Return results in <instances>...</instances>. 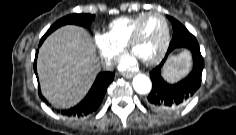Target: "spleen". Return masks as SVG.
I'll return each instance as SVG.
<instances>
[{
  "mask_svg": "<svg viewBox=\"0 0 236 135\" xmlns=\"http://www.w3.org/2000/svg\"><path fill=\"white\" fill-rule=\"evenodd\" d=\"M191 67V55L188 51H182L178 55L171 56L164 69L163 76L169 82H174L186 75Z\"/></svg>",
  "mask_w": 236,
  "mask_h": 135,
  "instance_id": "1",
  "label": "spleen"
}]
</instances>
